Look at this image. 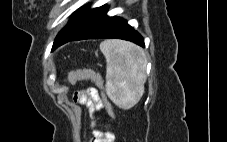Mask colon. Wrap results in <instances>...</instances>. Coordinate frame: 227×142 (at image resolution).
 Segmentation results:
<instances>
[{"mask_svg":"<svg viewBox=\"0 0 227 142\" xmlns=\"http://www.w3.org/2000/svg\"><path fill=\"white\" fill-rule=\"evenodd\" d=\"M79 80H91L95 82L101 89H103V81L101 77L94 72L91 71H78L70 74L69 76V83L75 84ZM103 103L110 115H113V111L109 101L107 100L106 96L103 94Z\"/></svg>","mask_w":227,"mask_h":142,"instance_id":"1","label":"colon"}]
</instances>
